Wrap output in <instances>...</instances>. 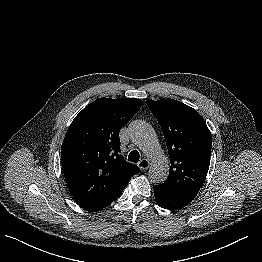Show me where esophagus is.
Listing matches in <instances>:
<instances>
[{"label": "esophagus", "mask_w": 262, "mask_h": 262, "mask_svg": "<svg viewBox=\"0 0 262 262\" xmlns=\"http://www.w3.org/2000/svg\"><path fill=\"white\" fill-rule=\"evenodd\" d=\"M137 165L141 170H147L150 166V162L147 159H142Z\"/></svg>", "instance_id": "obj_1"}]
</instances>
